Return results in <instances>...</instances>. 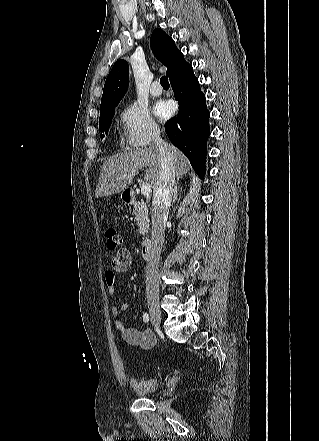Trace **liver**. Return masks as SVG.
I'll return each instance as SVG.
<instances>
[{"instance_id":"liver-1","label":"liver","mask_w":319,"mask_h":441,"mask_svg":"<svg viewBox=\"0 0 319 441\" xmlns=\"http://www.w3.org/2000/svg\"><path fill=\"white\" fill-rule=\"evenodd\" d=\"M173 147V146H172ZM174 174L177 179L186 174L190 167L188 159L175 147L172 148ZM146 167L144 179L155 190L160 176L159 150L149 147L129 153H120L107 159L100 171L95 197L117 194L131 185L134 175ZM135 170V172H132Z\"/></svg>"}]
</instances>
